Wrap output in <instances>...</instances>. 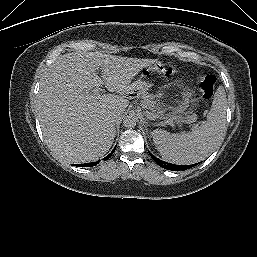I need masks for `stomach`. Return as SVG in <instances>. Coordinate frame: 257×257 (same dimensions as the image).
I'll return each instance as SVG.
<instances>
[{
	"label": "stomach",
	"instance_id": "1",
	"mask_svg": "<svg viewBox=\"0 0 257 257\" xmlns=\"http://www.w3.org/2000/svg\"><path fill=\"white\" fill-rule=\"evenodd\" d=\"M134 91L137 92L138 94H144L146 93L152 86L151 83L147 81H137L134 84Z\"/></svg>",
	"mask_w": 257,
	"mask_h": 257
}]
</instances>
